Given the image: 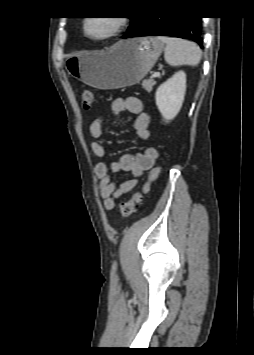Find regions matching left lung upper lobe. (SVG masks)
Segmentation results:
<instances>
[{
	"label": "left lung upper lobe",
	"instance_id": "obj_1",
	"mask_svg": "<svg viewBox=\"0 0 254 355\" xmlns=\"http://www.w3.org/2000/svg\"><path fill=\"white\" fill-rule=\"evenodd\" d=\"M136 20H137L136 17H131V25L129 26V29L135 24Z\"/></svg>",
	"mask_w": 254,
	"mask_h": 355
}]
</instances>
